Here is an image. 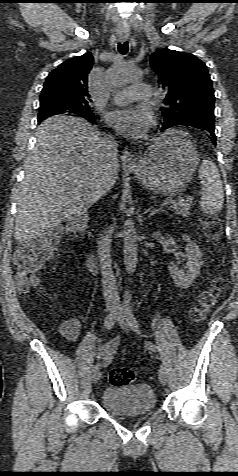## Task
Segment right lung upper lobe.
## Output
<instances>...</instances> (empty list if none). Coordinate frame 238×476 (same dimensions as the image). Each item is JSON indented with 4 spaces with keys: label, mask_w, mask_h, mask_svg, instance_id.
Masks as SVG:
<instances>
[{
    "label": "right lung upper lobe",
    "mask_w": 238,
    "mask_h": 476,
    "mask_svg": "<svg viewBox=\"0 0 238 476\" xmlns=\"http://www.w3.org/2000/svg\"><path fill=\"white\" fill-rule=\"evenodd\" d=\"M93 65V56L84 54L66 60L47 77L41 102L51 101L66 106H89L88 73Z\"/></svg>",
    "instance_id": "1"
}]
</instances>
